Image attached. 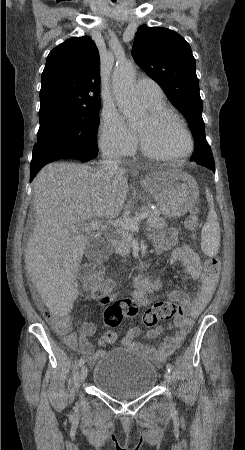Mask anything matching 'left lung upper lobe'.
<instances>
[{"label":"left lung upper lobe","instance_id":"5c2ea615","mask_svg":"<svg viewBox=\"0 0 245 450\" xmlns=\"http://www.w3.org/2000/svg\"><path fill=\"white\" fill-rule=\"evenodd\" d=\"M132 56L186 117L195 140V152L191 160L197 163L209 162V154L195 157L199 147L209 145L202 118L196 62L189 44L175 31L142 25L135 36Z\"/></svg>","mask_w":245,"mask_h":450}]
</instances>
